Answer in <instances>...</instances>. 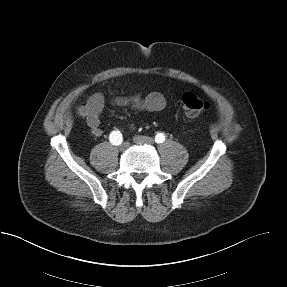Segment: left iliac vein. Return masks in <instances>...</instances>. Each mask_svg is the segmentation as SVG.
<instances>
[{"instance_id": "1", "label": "left iliac vein", "mask_w": 287, "mask_h": 287, "mask_svg": "<svg viewBox=\"0 0 287 287\" xmlns=\"http://www.w3.org/2000/svg\"><path fill=\"white\" fill-rule=\"evenodd\" d=\"M133 141L136 144H140V145H143V144L153 145L154 144V139L153 138L147 137V136H141V135L135 136L133 138Z\"/></svg>"}]
</instances>
